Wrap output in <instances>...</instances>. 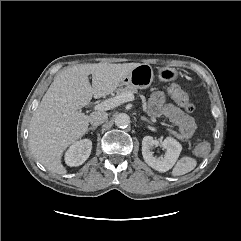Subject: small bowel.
<instances>
[{
    "mask_svg": "<svg viewBox=\"0 0 241 241\" xmlns=\"http://www.w3.org/2000/svg\"><path fill=\"white\" fill-rule=\"evenodd\" d=\"M150 112L154 116H165L180 130L182 136L189 139L196 130L192 117L186 115L175 103L166 99L163 92H155L150 99Z\"/></svg>",
    "mask_w": 241,
    "mask_h": 241,
    "instance_id": "1",
    "label": "small bowel"
}]
</instances>
